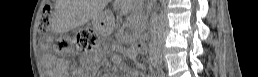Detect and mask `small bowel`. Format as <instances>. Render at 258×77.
<instances>
[{"label": "small bowel", "mask_w": 258, "mask_h": 77, "mask_svg": "<svg viewBox=\"0 0 258 77\" xmlns=\"http://www.w3.org/2000/svg\"><path fill=\"white\" fill-rule=\"evenodd\" d=\"M42 46H43V48L48 49L49 48V41L48 40L42 41ZM46 59L49 60L48 55L46 56ZM53 63H54L55 69H57V70L66 69V62H65L64 59L54 58ZM55 72L56 73H63V71H55Z\"/></svg>", "instance_id": "small-bowel-1"}]
</instances>
